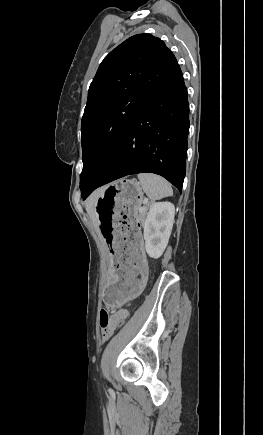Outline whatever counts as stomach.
Instances as JSON below:
<instances>
[{
  "label": "stomach",
  "instance_id": "1",
  "mask_svg": "<svg viewBox=\"0 0 263 435\" xmlns=\"http://www.w3.org/2000/svg\"><path fill=\"white\" fill-rule=\"evenodd\" d=\"M143 192L136 179L116 180L98 192L94 207L98 233H103L109 251V290L105 302L109 310L132 305L150 281L148 261L143 260L145 246L138 209Z\"/></svg>",
  "mask_w": 263,
  "mask_h": 435
}]
</instances>
